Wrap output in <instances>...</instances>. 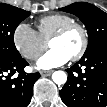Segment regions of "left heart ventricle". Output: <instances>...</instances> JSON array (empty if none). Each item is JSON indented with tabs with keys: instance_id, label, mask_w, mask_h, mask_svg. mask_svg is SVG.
Wrapping results in <instances>:
<instances>
[{
	"instance_id": "obj_1",
	"label": "left heart ventricle",
	"mask_w": 107,
	"mask_h": 107,
	"mask_svg": "<svg viewBox=\"0 0 107 107\" xmlns=\"http://www.w3.org/2000/svg\"><path fill=\"white\" fill-rule=\"evenodd\" d=\"M82 41L81 31L78 28H73L64 37L51 41L49 47L60 49L71 57L80 49Z\"/></svg>"
}]
</instances>
